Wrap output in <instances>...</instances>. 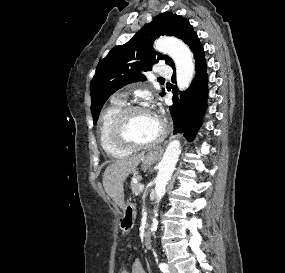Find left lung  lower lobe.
<instances>
[{
    "mask_svg": "<svg viewBox=\"0 0 285 273\" xmlns=\"http://www.w3.org/2000/svg\"><path fill=\"white\" fill-rule=\"evenodd\" d=\"M194 53L196 76L188 90L177 93L173 91V105L169 110L174 122V134L184 133L191 141L198 131L206 109L207 83L204 50L197 34L194 32L186 43ZM175 70V66H171ZM175 80V76H172Z\"/></svg>",
    "mask_w": 285,
    "mask_h": 273,
    "instance_id": "1",
    "label": "left lung lower lobe"
}]
</instances>
